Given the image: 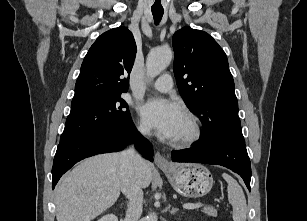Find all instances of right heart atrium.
I'll return each instance as SVG.
<instances>
[{
    "label": "right heart atrium",
    "instance_id": "right-heart-atrium-1",
    "mask_svg": "<svg viewBox=\"0 0 307 221\" xmlns=\"http://www.w3.org/2000/svg\"><path fill=\"white\" fill-rule=\"evenodd\" d=\"M137 130L138 132L143 135V136H148L150 135V130L148 129V127L143 123L140 122L137 126Z\"/></svg>",
    "mask_w": 307,
    "mask_h": 221
}]
</instances>
